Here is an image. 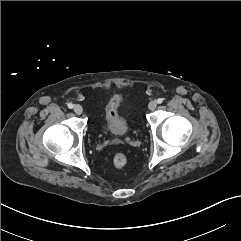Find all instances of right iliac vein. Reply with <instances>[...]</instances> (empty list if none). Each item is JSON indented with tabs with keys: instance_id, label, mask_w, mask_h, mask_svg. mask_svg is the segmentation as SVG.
<instances>
[{
	"instance_id": "1",
	"label": "right iliac vein",
	"mask_w": 241,
	"mask_h": 241,
	"mask_svg": "<svg viewBox=\"0 0 241 241\" xmlns=\"http://www.w3.org/2000/svg\"><path fill=\"white\" fill-rule=\"evenodd\" d=\"M74 112H75L77 115L82 114V112H83L82 106H81L80 104H76V105L74 106Z\"/></svg>"
}]
</instances>
